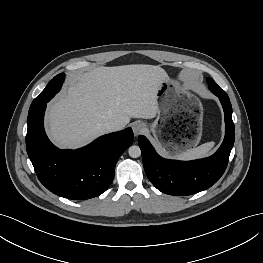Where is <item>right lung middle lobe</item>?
Returning a JSON list of instances; mask_svg holds the SVG:
<instances>
[{"mask_svg": "<svg viewBox=\"0 0 263 263\" xmlns=\"http://www.w3.org/2000/svg\"><path fill=\"white\" fill-rule=\"evenodd\" d=\"M65 74L60 73L55 76L46 86V88L33 100L30 110H33L45 102H48L60 89L64 81Z\"/></svg>", "mask_w": 263, "mask_h": 263, "instance_id": "dd1d6c3e", "label": "right lung middle lobe"}]
</instances>
